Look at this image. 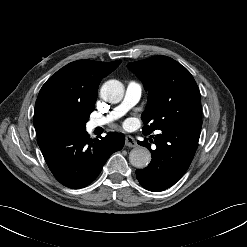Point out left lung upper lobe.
I'll list each match as a JSON object with an SVG mask.
<instances>
[{
	"label": "left lung upper lobe",
	"instance_id": "left-lung-upper-lobe-1",
	"mask_svg": "<svg viewBox=\"0 0 247 247\" xmlns=\"http://www.w3.org/2000/svg\"><path fill=\"white\" fill-rule=\"evenodd\" d=\"M127 67L148 90V103L141 119L143 134L162 130L172 124L201 129L200 92L190 72L167 56H153L132 62Z\"/></svg>",
	"mask_w": 247,
	"mask_h": 247
}]
</instances>
